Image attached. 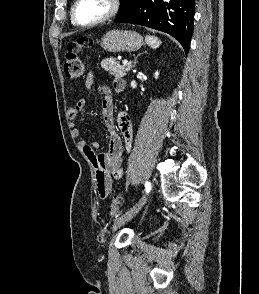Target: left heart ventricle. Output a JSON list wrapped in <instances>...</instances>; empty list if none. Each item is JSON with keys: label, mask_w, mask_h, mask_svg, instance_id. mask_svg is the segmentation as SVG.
Listing matches in <instances>:
<instances>
[{"label": "left heart ventricle", "mask_w": 259, "mask_h": 294, "mask_svg": "<svg viewBox=\"0 0 259 294\" xmlns=\"http://www.w3.org/2000/svg\"><path fill=\"white\" fill-rule=\"evenodd\" d=\"M110 8L109 0H81L77 7V19L90 23L104 16Z\"/></svg>", "instance_id": "left-heart-ventricle-1"}]
</instances>
